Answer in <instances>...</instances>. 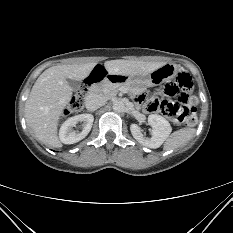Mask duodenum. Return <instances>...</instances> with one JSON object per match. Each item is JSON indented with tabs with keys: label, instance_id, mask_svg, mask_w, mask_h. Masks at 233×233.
Masks as SVG:
<instances>
[{
	"label": "duodenum",
	"instance_id": "duodenum-1",
	"mask_svg": "<svg viewBox=\"0 0 233 233\" xmlns=\"http://www.w3.org/2000/svg\"><path fill=\"white\" fill-rule=\"evenodd\" d=\"M93 70L94 71L88 77L87 82H85V87L87 88V92L99 93L102 90V87L100 86L99 82L103 80H107L111 83H116L113 80L115 74L105 72L104 71L105 68L103 65L98 64L94 67Z\"/></svg>",
	"mask_w": 233,
	"mask_h": 233
}]
</instances>
